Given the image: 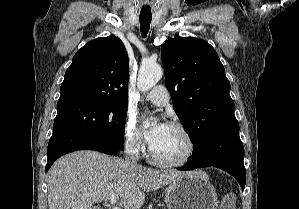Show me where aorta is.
<instances>
[{"mask_svg":"<svg viewBox=\"0 0 299 209\" xmlns=\"http://www.w3.org/2000/svg\"><path fill=\"white\" fill-rule=\"evenodd\" d=\"M163 70L156 63H143L139 69L137 86L141 91H148L155 86L162 78ZM145 127L149 126V122L144 123Z\"/></svg>","mask_w":299,"mask_h":209,"instance_id":"1","label":"aorta"}]
</instances>
